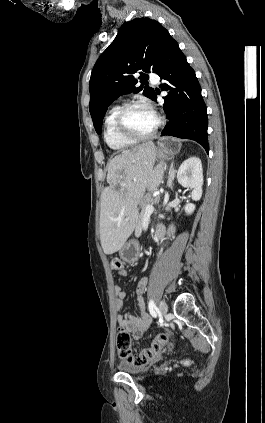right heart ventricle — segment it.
I'll use <instances>...</instances> for the list:
<instances>
[{"label": "right heart ventricle", "mask_w": 265, "mask_h": 423, "mask_svg": "<svg viewBox=\"0 0 265 423\" xmlns=\"http://www.w3.org/2000/svg\"><path fill=\"white\" fill-rule=\"evenodd\" d=\"M121 108L120 104L113 106L104 121V140L110 149L117 152L125 151L136 143L122 138L116 131L115 119Z\"/></svg>", "instance_id": "obj_1"}]
</instances>
